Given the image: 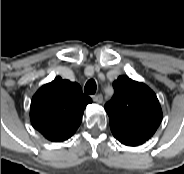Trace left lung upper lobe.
I'll use <instances>...</instances> for the list:
<instances>
[{"label": "left lung upper lobe", "mask_w": 184, "mask_h": 174, "mask_svg": "<svg viewBox=\"0 0 184 174\" xmlns=\"http://www.w3.org/2000/svg\"><path fill=\"white\" fill-rule=\"evenodd\" d=\"M114 96L105 104L111 131L142 141L148 140L162 121L156 94L144 83L126 75L113 82Z\"/></svg>", "instance_id": "obj_1"}]
</instances>
